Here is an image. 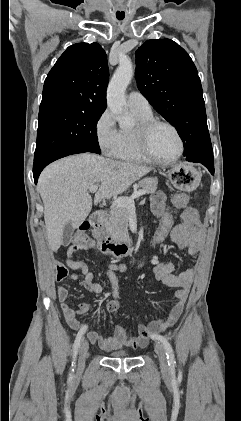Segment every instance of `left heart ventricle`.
<instances>
[{
    "mask_svg": "<svg viewBox=\"0 0 241 421\" xmlns=\"http://www.w3.org/2000/svg\"><path fill=\"white\" fill-rule=\"evenodd\" d=\"M150 148L160 159H170L179 151V142L175 133L167 126H157L150 136Z\"/></svg>",
    "mask_w": 241,
    "mask_h": 421,
    "instance_id": "obj_1",
    "label": "left heart ventricle"
}]
</instances>
